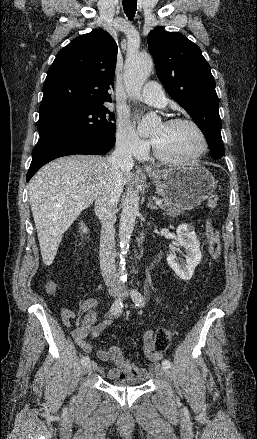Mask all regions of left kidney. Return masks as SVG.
Wrapping results in <instances>:
<instances>
[{
  "instance_id": "left-kidney-1",
  "label": "left kidney",
  "mask_w": 257,
  "mask_h": 439,
  "mask_svg": "<svg viewBox=\"0 0 257 439\" xmlns=\"http://www.w3.org/2000/svg\"><path fill=\"white\" fill-rule=\"evenodd\" d=\"M176 232L179 245L185 249V260H179L175 253H171L167 256V262L179 278L190 280L202 258L200 242L193 227L188 224L179 225Z\"/></svg>"
}]
</instances>
